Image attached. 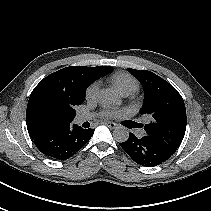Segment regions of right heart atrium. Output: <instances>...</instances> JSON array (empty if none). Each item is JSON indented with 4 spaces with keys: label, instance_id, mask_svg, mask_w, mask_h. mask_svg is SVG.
<instances>
[{
    "label": "right heart atrium",
    "instance_id": "right-heart-atrium-1",
    "mask_svg": "<svg viewBox=\"0 0 211 211\" xmlns=\"http://www.w3.org/2000/svg\"><path fill=\"white\" fill-rule=\"evenodd\" d=\"M99 91V83L98 82H93L90 84L85 92V96L87 100H93L97 97Z\"/></svg>",
    "mask_w": 211,
    "mask_h": 211
}]
</instances>
